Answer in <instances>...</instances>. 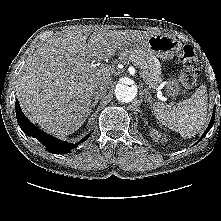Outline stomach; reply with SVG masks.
I'll list each match as a JSON object with an SVG mask.
<instances>
[{
	"mask_svg": "<svg viewBox=\"0 0 221 221\" xmlns=\"http://www.w3.org/2000/svg\"><path fill=\"white\" fill-rule=\"evenodd\" d=\"M126 52H145L150 57L162 60L172 59L182 48V44L174 37L155 34L141 41H132L126 45ZM180 85L176 79H171L166 85V94L175 97L180 93Z\"/></svg>",
	"mask_w": 221,
	"mask_h": 221,
	"instance_id": "1",
	"label": "stomach"
}]
</instances>
